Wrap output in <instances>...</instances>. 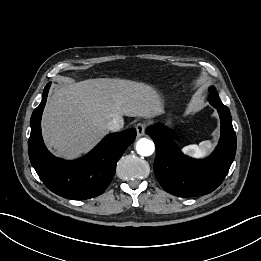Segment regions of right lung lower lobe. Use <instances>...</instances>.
<instances>
[{"instance_id": "right-lung-lower-lobe-1", "label": "right lung lower lobe", "mask_w": 261, "mask_h": 261, "mask_svg": "<svg viewBox=\"0 0 261 261\" xmlns=\"http://www.w3.org/2000/svg\"><path fill=\"white\" fill-rule=\"evenodd\" d=\"M51 83L44 89L40 105L31 116L28 153L39 178L55 194L67 199H90L102 194L111 182L116 164L135 140L136 130L107 135L90 153L75 161L54 157L45 147L41 135V116Z\"/></svg>"}]
</instances>
